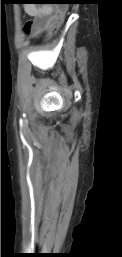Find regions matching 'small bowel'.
<instances>
[{
  "label": "small bowel",
  "mask_w": 122,
  "mask_h": 257,
  "mask_svg": "<svg viewBox=\"0 0 122 257\" xmlns=\"http://www.w3.org/2000/svg\"><path fill=\"white\" fill-rule=\"evenodd\" d=\"M25 11L33 17L25 26L27 32L32 36H38L49 30L52 21H57L55 17L59 10H55L50 5H27Z\"/></svg>",
  "instance_id": "small-bowel-1"
}]
</instances>
